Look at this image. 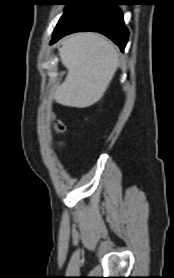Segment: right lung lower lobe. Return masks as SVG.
I'll list each match as a JSON object with an SVG mask.
<instances>
[{
    "mask_svg": "<svg viewBox=\"0 0 174 278\" xmlns=\"http://www.w3.org/2000/svg\"><path fill=\"white\" fill-rule=\"evenodd\" d=\"M114 0H85L78 3L55 28L51 44L78 31H97L113 40L122 51L128 40L123 15Z\"/></svg>",
    "mask_w": 174,
    "mask_h": 278,
    "instance_id": "98d812e1",
    "label": "right lung lower lobe"
}]
</instances>
